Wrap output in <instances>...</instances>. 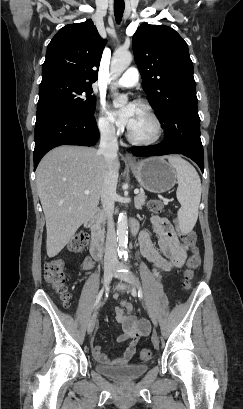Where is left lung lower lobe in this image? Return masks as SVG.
Returning a JSON list of instances; mask_svg holds the SVG:
<instances>
[{"label": "left lung lower lobe", "instance_id": "left-lung-lower-lobe-1", "mask_svg": "<svg viewBox=\"0 0 243 409\" xmlns=\"http://www.w3.org/2000/svg\"><path fill=\"white\" fill-rule=\"evenodd\" d=\"M164 140L152 146H134L135 156H159L182 154L191 158L204 171L203 146L200 139V118L197 102H189L177 108L165 122Z\"/></svg>", "mask_w": 243, "mask_h": 409}]
</instances>
